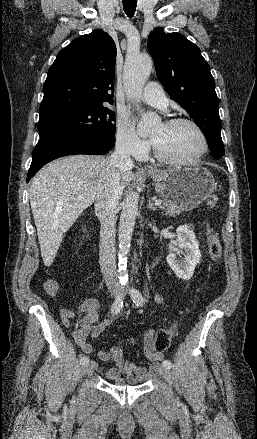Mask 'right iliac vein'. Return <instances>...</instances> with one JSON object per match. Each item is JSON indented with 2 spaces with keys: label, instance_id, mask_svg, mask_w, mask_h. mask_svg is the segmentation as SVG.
Listing matches in <instances>:
<instances>
[{
  "label": "right iliac vein",
  "instance_id": "1",
  "mask_svg": "<svg viewBox=\"0 0 257 439\" xmlns=\"http://www.w3.org/2000/svg\"><path fill=\"white\" fill-rule=\"evenodd\" d=\"M91 369H92L91 363H87V364L83 365L82 374L83 375L88 374L91 371Z\"/></svg>",
  "mask_w": 257,
  "mask_h": 439
}]
</instances>
